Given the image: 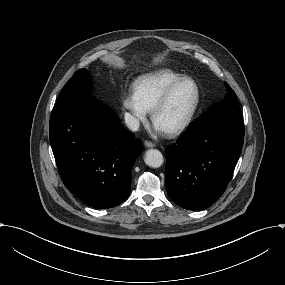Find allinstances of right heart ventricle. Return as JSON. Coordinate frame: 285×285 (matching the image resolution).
Here are the masks:
<instances>
[{"mask_svg": "<svg viewBox=\"0 0 285 285\" xmlns=\"http://www.w3.org/2000/svg\"><path fill=\"white\" fill-rule=\"evenodd\" d=\"M183 77L171 70H160L141 77L135 89L141 101L151 111L166 90Z\"/></svg>", "mask_w": 285, "mask_h": 285, "instance_id": "e07e8e85", "label": "right heart ventricle"}]
</instances>
